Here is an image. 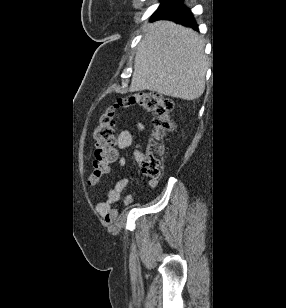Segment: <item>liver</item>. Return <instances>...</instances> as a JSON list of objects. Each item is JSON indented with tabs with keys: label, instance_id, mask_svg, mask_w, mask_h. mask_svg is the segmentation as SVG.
Masks as SVG:
<instances>
[{
	"label": "liver",
	"instance_id": "liver-1",
	"mask_svg": "<svg viewBox=\"0 0 286 308\" xmlns=\"http://www.w3.org/2000/svg\"><path fill=\"white\" fill-rule=\"evenodd\" d=\"M204 41L192 29L167 20L149 24L134 61L130 92L149 90L195 100L205 90Z\"/></svg>",
	"mask_w": 286,
	"mask_h": 308
}]
</instances>
